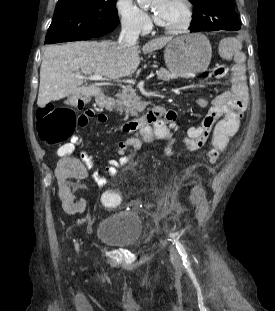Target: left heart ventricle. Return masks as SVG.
<instances>
[{"instance_id":"b2bd125f","label":"left heart ventricle","mask_w":275,"mask_h":311,"mask_svg":"<svg viewBox=\"0 0 275 311\" xmlns=\"http://www.w3.org/2000/svg\"><path fill=\"white\" fill-rule=\"evenodd\" d=\"M151 10L160 15L159 24L167 27H175L183 23L185 9L179 0H156Z\"/></svg>"}]
</instances>
